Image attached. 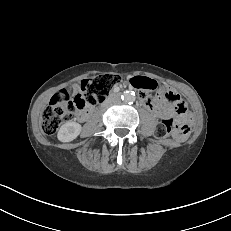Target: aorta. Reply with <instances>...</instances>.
I'll return each mask as SVG.
<instances>
[{
	"mask_svg": "<svg viewBox=\"0 0 231 231\" xmlns=\"http://www.w3.org/2000/svg\"><path fill=\"white\" fill-rule=\"evenodd\" d=\"M122 98L125 102H133L135 101V94L131 91H126L123 94Z\"/></svg>",
	"mask_w": 231,
	"mask_h": 231,
	"instance_id": "obj_1",
	"label": "aorta"
}]
</instances>
